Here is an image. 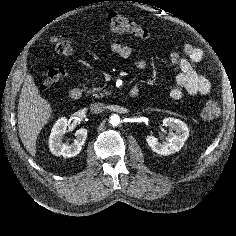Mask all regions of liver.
<instances>
[{
	"label": "liver",
	"mask_w": 236,
	"mask_h": 236,
	"mask_svg": "<svg viewBox=\"0 0 236 236\" xmlns=\"http://www.w3.org/2000/svg\"><path fill=\"white\" fill-rule=\"evenodd\" d=\"M51 115V105L40 95L32 76L27 75L20 93L17 117L20 139L32 156L36 155L38 135Z\"/></svg>",
	"instance_id": "1"
}]
</instances>
